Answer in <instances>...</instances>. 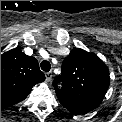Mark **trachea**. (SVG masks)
Instances as JSON below:
<instances>
[{
	"label": "trachea",
	"instance_id": "3493384b",
	"mask_svg": "<svg viewBox=\"0 0 122 122\" xmlns=\"http://www.w3.org/2000/svg\"><path fill=\"white\" fill-rule=\"evenodd\" d=\"M40 66H41V69H42L44 72H49L50 69H51V64H50V62L47 61V60L42 61L41 64H40Z\"/></svg>",
	"mask_w": 122,
	"mask_h": 122
}]
</instances>
